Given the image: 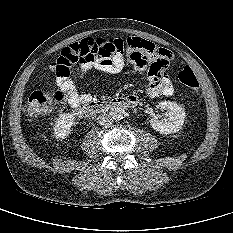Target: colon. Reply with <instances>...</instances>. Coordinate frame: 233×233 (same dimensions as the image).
<instances>
[{
  "instance_id": "5ec220e1",
  "label": "colon",
  "mask_w": 233,
  "mask_h": 233,
  "mask_svg": "<svg viewBox=\"0 0 233 233\" xmlns=\"http://www.w3.org/2000/svg\"><path fill=\"white\" fill-rule=\"evenodd\" d=\"M126 41L120 38H87L74 43L62 51L54 63L55 70L60 75H68L71 67L77 63L107 62L114 56H122L125 54ZM178 80L192 90H198L200 87L195 72L189 66H185L178 73ZM62 97L60 91L53 93L43 90L34 91L27 101V114L31 117L40 116L48 112Z\"/></svg>"
}]
</instances>
